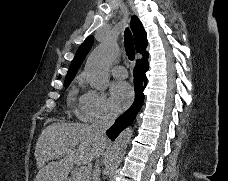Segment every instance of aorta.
Listing matches in <instances>:
<instances>
[{"instance_id": "1", "label": "aorta", "mask_w": 228, "mask_h": 181, "mask_svg": "<svg viewBox=\"0 0 228 181\" xmlns=\"http://www.w3.org/2000/svg\"><path fill=\"white\" fill-rule=\"evenodd\" d=\"M119 54L117 43L111 37L106 38L98 47H96L89 55L85 72L91 86L100 92H104L109 85V68L114 59ZM133 130L131 128L125 129L115 140L109 163L105 174L110 176L120 164L127 145L130 142Z\"/></svg>"}]
</instances>
